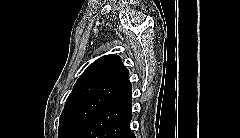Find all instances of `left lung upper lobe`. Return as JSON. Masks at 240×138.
I'll use <instances>...</instances> for the list:
<instances>
[{
  "instance_id": "obj_1",
  "label": "left lung upper lobe",
  "mask_w": 240,
  "mask_h": 138,
  "mask_svg": "<svg viewBox=\"0 0 240 138\" xmlns=\"http://www.w3.org/2000/svg\"><path fill=\"white\" fill-rule=\"evenodd\" d=\"M128 75L118 55L102 56L79 77L59 119L58 138H80Z\"/></svg>"
}]
</instances>
